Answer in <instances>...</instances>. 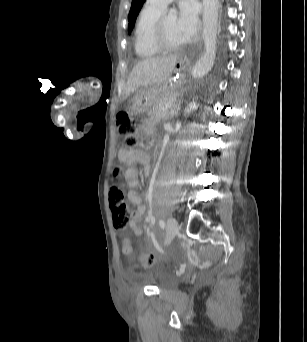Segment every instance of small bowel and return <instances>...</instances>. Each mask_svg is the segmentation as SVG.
I'll return each instance as SVG.
<instances>
[{
	"mask_svg": "<svg viewBox=\"0 0 307 342\" xmlns=\"http://www.w3.org/2000/svg\"><path fill=\"white\" fill-rule=\"evenodd\" d=\"M120 157L125 164L130 166V168L126 172V181L131 188L128 193V199L130 203L135 207V216L130 223V229L133 232H142L140 219L145 213V206L143 205L141 198L134 190L139 186V179L136 170L132 166L136 163L143 164L144 173L145 175H148L150 172L148 155L144 151L138 149H124L121 151Z\"/></svg>",
	"mask_w": 307,
	"mask_h": 342,
	"instance_id": "c3829d8e",
	"label": "small bowel"
}]
</instances>
